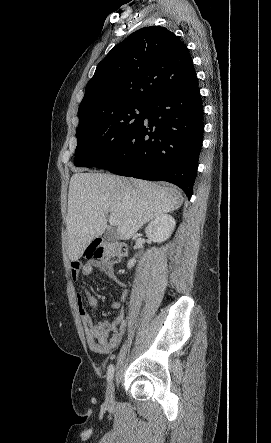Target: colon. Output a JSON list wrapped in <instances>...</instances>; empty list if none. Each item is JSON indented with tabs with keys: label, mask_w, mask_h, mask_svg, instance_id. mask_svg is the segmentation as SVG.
Instances as JSON below:
<instances>
[{
	"label": "colon",
	"mask_w": 271,
	"mask_h": 443,
	"mask_svg": "<svg viewBox=\"0 0 271 443\" xmlns=\"http://www.w3.org/2000/svg\"><path fill=\"white\" fill-rule=\"evenodd\" d=\"M127 253V247L121 242H102L95 240L87 248L85 256L103 260L108 264H116Z\"/></svg>",
	"instance_id": "colon-1"
}]
</instances>
